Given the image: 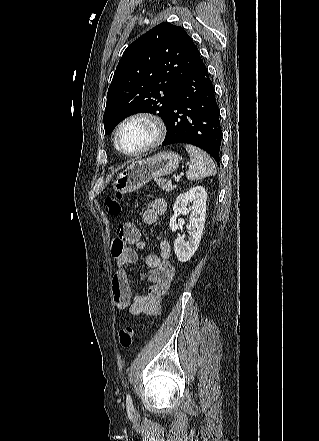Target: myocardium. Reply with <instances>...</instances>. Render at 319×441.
Returning a JSON list of instances; mask_svg holds the SVG:
<instances>
[{
    "label": "myocardium",
    "mask_w": 319,
    "mask_h": 441,
    "mask_svg": "<svg viewBox=\"0 0 319 441\" xmlns=\"http://www.w3.org/2000/svg\"><path fill=\"white\" fill-rule=\"evenodd\" d=\"M134 121H144V122H147L148 124H150L153 128V137L150 140V142H148L145 146L141 147L140 149H138L136 151H127V150L123 149L121 146L120 134H121L123 128L127 124L134 122ZM165 135H166V125H165L164 121L162 120V118L154 113L141 111V112H136V113L130 114L129 116L125 117L118 124V126L115 130V133H114V144H115L116 149L120 153H122L126 156L136 157V156H140L142 154H145L146 152L159 146L162 143V141L164 140Z\"/></svg>",
    "instance_id": "f54148a6"
}]
</instances>
